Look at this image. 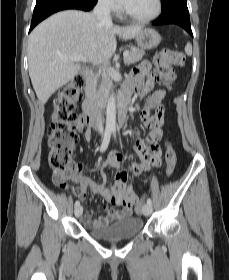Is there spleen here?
I'll use <instances>...</instances> for the list:
<instances>
[{
  "instance_id": "obj_1",
  "label": "spleen",
  "mask_w": 229,
  "mask_h": 280,
  "mask_svg": "<svg viewBox=\"0 0 229 280\" xmlns=\"http://www.w3.org/2000/svg\"><path fill=\"white\" fill-rule=\"evenodd\" d=\"M185 52L187 53V55L192 54V46L190 43H187V45L185 46Z\"/></svg>"
}]
</instances>
